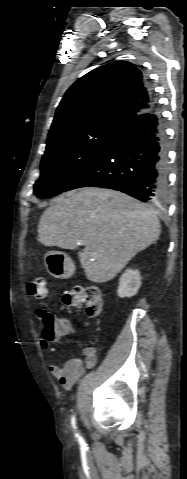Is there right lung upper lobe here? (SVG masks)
Instances as JSON below:
<instances>
[{
	"label": "right lung upper lobe",
	"instance_id": "right-lung-upper-lobe-1",
	"mask_svg": "<svg viewBox=\"0 0 187 479\" xmlns=\"http://www.w3.org/2000/svg\"><path fill=\"white\" fill-rule=\"evenodd\" d=\"M141 71L115 61L87 73L66 92L56 111L47 141L73 129L93 125L123 127L154 106Z\"/></svg>",
	"mask_w": 187,
	"mask_h": 479
}]
</instances>
